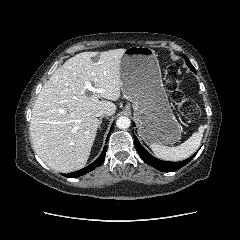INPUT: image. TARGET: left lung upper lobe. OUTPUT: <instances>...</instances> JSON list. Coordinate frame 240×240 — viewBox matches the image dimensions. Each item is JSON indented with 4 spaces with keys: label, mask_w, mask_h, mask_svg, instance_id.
Returning <instances> with one entry per match:
<instances>
[{
    "label": "left lung upper lobe",
    "mask_w": 240,
    "mask_h": 240,
    "mask_svg": "<svg viewBox=\"0 0 240 240\" xmlns=\"http://www.w3.org/2000/svg\"><path fill=\"white\" fill-rule=\"evenodd\" d=\"M184 58H185V61H186L187 65H188V67H189L193 72L196 73L195 68H194L193 65L190 63V61L188 60V58H187V57H184Z\"/></svg>",
    "instance_id": "1"
}]
</instances>
